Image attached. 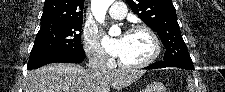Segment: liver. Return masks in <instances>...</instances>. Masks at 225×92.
Listing matches in <instances>:
<instances>
[{
	"label": "liver",
	"instance_id": "1",
	"mask_svg": "<svg viewBox=\"0 0 225 92\" xmlns=\"http://www.w3.org/2000/svg\"><path fill=\"white\" fill-rule=\"evenodd\" d=\"M145 71L135 69L92 72L78 64L55 63L28 72L24 92H110L137 81Z\"/></svg>",
	"mask_w": 225,
	"mask_h": 92
}]
</instances>
